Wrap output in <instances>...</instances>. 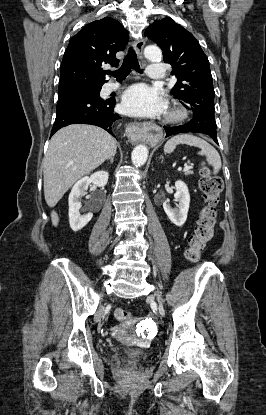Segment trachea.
<instances>
[{"instance_id":"1","label":"trachea","mask_w":266,"mask_h":415,"mask_svg":"<svg viewBox=\"0 0 266 415\" xmlns=\"http://www.w3.org/2000/svg\"><path fill=\"white\" fill-rule=\"evenodd\" d=\"M131 69H134L137 72H142L140 70V65L138 63L137 55L132 48L129 49L128 54L125 57L120 69L110 72L109 74L115 77L116 80H122L129 74Z\"/></svg>"}]
</instances>
